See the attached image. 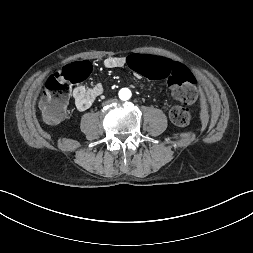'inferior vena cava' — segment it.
Instances as JSON below:
<instances>
[{"instance_id": "obj_1", "label": "inferior vena cava", "mask_w": 253, "mask_h": 253, "mask_svg": "<svg viewBox=\"0 0 253 253\" xmlns=\"http://www.w3.org/2000/svg\"><path fill=\"white\" fill-rule=\"evenodd\" d=\"M116 98H110V99H108V100H104V101H102V106H104V107H106V106H110V105H112V104H114V103H116Z\"/></svg>"}]
</instances>
